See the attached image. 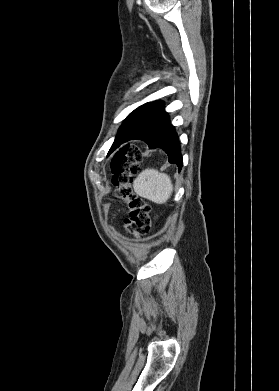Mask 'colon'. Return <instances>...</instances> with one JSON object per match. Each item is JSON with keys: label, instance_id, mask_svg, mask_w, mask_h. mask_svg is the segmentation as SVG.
I'll list each match as a JSON object with an SVG mask.
<instances>
[{"label": "colon", "instance_id": "5ec220e1", "mask_svg": "<svg viewBox=\"0 0 279 391\" xmlns=\"http://www.w3.org/2000/svg\"><path fill=\"white\" fill-rule=\"evenodd\" d=\"M141 152L132 145L124 146L112 161L113 184L118 199L126 202L129 216L123 220V228L136 237L148 233L151 208L143 199L131 191V180L138 170Z\"/></svg>", "mask_w": 279, "mask_h": 391}]
</instances>
